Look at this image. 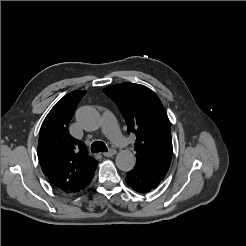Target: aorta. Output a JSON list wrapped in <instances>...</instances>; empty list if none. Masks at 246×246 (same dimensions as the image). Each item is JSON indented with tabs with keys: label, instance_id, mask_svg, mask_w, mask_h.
Segmentation results:
<instances>
[{
	"label": "aorta",
	"instance_id": "obj_1",
	"mask_svg": "<svg viewBox=\"0 0 246 246\" xmlns=\"http://www.w3.org/2000/svg\"><path fill=\"white\" fill-rule=\"evenodd\" d=\"M76 119L79 125L87 131L97 130L101 121L98 111L90 106L78 109ZM135 162V156L129 150H122L116 156L117 167L125 172L132 170L135 166Z\"/></svg>",
	"mask_w": 246,
	"mask_h": 246
}]
</instances>
